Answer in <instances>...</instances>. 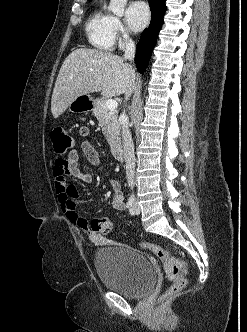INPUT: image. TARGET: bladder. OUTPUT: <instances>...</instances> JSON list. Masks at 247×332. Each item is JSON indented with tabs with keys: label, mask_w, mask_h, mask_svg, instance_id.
<instances>
[{
	"label": "bladder",
	"mask_w": 247,
	"mask_h": 332,
	"mask_svg": "<svg viewBox=\"0 0 247 332\" xmlns=\"http://www.w3.org/2000/svg\"><path fill=\"white\" fill-rule=\"evenodd\" d=\"M95 267L105 288L127 298L143 297L156 282V270L150 258L125 244L99 249Z\"/></svg>",
	"instance_id": "obj_1"
}]
</instances>
